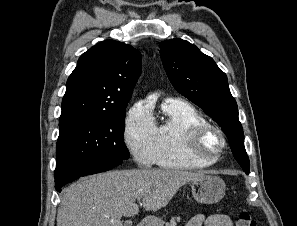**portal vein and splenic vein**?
<instances>
[{"label":"portal vein and splenic vein","mask_w":297,"mask_h":226,"mask_svg":"<svg viewBox=\"0 0 297 226\" xmlns=\"http://www.w3.org/2000/svg\"><path fill=\"white\" fill-rule=\"evenodd\" d=\"M136 199H137V201H138V202H140V200H141V197H137Z\"/></svg>","instance_id":"1"}]
</instances>
